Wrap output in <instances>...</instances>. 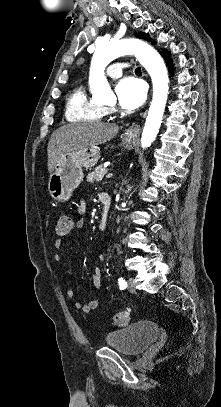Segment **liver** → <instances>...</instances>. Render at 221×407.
<instances>
[{"label":"liver","mask_w":221,"mask_h":407,"mask_svg":"<svg viewBox=\"0 0 221 407\" xmlns=\"http://www.w3.org/2000/svg\"><path fill=\"white\" fill-rule=\"evenodd\" d=\"M118 131V125L102 122L71 123L58 128L48 142L49 173L64 154L81 148L97 147L113 139Z\"/></svg>","instance_id":"liver-1"}]
</instances>
